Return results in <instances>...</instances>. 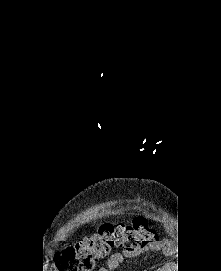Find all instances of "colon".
<instances>
[{
    "mask_svg": "<svg viewBox=\"0 0 221 271\" xmlns=\"http://www.w3.org/2000/svg\"><path fill=\"white\" fill-rule=\"evenodd\" d=\"M156 234L140 217L130 223H104L98 231L75 244L58 250L52 258L54 271H93L113 250L140 251L155 240Z\"/></svg>",
    "mask_w": 221,
    "mask_h": 271,
    "instance_id": "1",
    "label": "colon"
}]
</instances>
